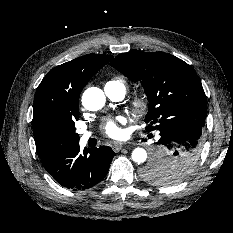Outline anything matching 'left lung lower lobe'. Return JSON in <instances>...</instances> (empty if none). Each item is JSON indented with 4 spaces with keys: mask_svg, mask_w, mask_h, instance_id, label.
Returning <instances> with one entry per match:
<instances>
[{
    "mask_svg": "<svg viewBox=\"0 0 233 233\" xmlns=\"http://www.w3.org/2000/svg\"><path fill=\"white\" fill-rule=\"evenodd\" d=\"M205 122L181 120L159 128L158 152L153 162L160 165L173 164L180 158L189 157L198 161L202 149V128Z\"/></svg>",
    "mask_w": 233,
    "mask_h": 233,
    "instance_id": "0a47b994",
    "label": "left lung lower lobe"
}]
</instances>
